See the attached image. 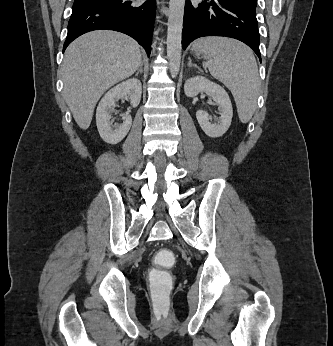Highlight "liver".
<instances>
[{
	"label": "liver",
	"instance_id": "1",
	"mask_svg": "<svg viewBox=\"0 0 333 346\" xmlns=\"http://www.w3.org/2000/svg\"><path fill=\"white\" fill-rule=\"evenodd\" d=\"M141 62L138 43L114 31H92L68 46L62 65L63 93L80 128L86 130L90 126L103 93L130 77Z\"/></svg>",
	"mask_w": 333,
	"mask_h": 346
}]
</instances>
